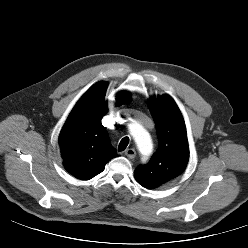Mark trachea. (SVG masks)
<instances>
[{
	"instance_id": "trachea-1",
	"label": "trachea",
	"mask_w": 248,
	"mask_h": 248,
	"mask_svg": "<svg viewBox=\"0 0 248 248\" xmlns=\"http://www.w3.org/2000/svg\"><path fill=\"white\" fill-rule=\"evenodd\" d=\"M128 144H129V137H124L119 143L118 151L119 152L124 151L127 148Z\"/></svg>"
}]
</instances>
